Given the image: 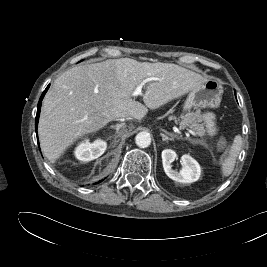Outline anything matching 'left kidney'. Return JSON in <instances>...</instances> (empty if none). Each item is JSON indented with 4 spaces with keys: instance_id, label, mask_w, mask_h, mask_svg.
I'll use <instances>...</instances> for the list:
<instances>
[{
    "instance_id": "obj_1",
    "label": "left kidney",
    "mask_w": 267,
    "mask_h": 267,
    "mask_svg": "<svg viewBox=\"0 0 267 267\" xmlns=\"http://www.w3.org/2000/svg\"><path fill=\"white\" fill-rule=\"evenodd\" d=\"M177 158L175 151L165 149L162 151V163L166 175L172 180L180 183H193L197 181L201 175L199 163L190 155L181 157L182 169L180 172L173 170L171 163Z\"/></svg>"
}]
</instances>
